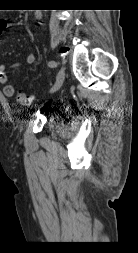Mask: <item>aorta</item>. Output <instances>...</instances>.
<instances>
[{"label":"aorta","instance_id":"762f6f07","mask_svg":"<svg viewBox=\"0 0 138 253\" xmlns=\"http://www.w3.org/2000/svg\"><path fill=\"white\" fill-rule=\"evenodd\" d=\"M35 17H36L37 19H41V18H42L41 10H36V12H35Z\"/></svg>","mask_w":138,"mask_h":253}]
</instances>
